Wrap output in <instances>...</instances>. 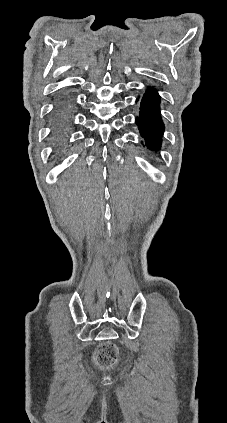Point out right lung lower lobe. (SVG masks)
I'll return each instance as SVG.
<instances>
[{
	"label": "right lung lower lobe",
	"instance_id": "right-lung-lower-lobe-1",
	"mask_svg": "<svg viewBox=\"0 0 227 423\" xmlns=\"http://www.w3.org/2000/svg\"><path fill=\"white\" fill-rule=\"evenodd\" d=\"M53 137H54L55 143L57 144L56 152L62 151V149L65 147L64 144H65V138H66L64 131L60 127H57L54 130Z\"/></svg>",
	"mask_w": 227,
	"mask_h": 423
}]
</instances>
